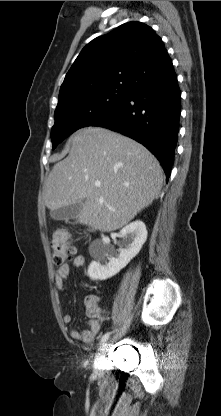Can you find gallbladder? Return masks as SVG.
<instances>
[{"instance_id": "1", "label": "gallbladder", "mask_w": 221, "mask_h": 416, "mask_svg": "<svg viewBox=\"0 0 221 416\" xmlns=\"http://www.w3.org/2000/svg\"><path fill=\"white\" fill-rule=\"evenodd\" d=\"M81 209V203L64 206L50 211V217L57 221L75 219Z\"/></svg>"}]
</instances>
